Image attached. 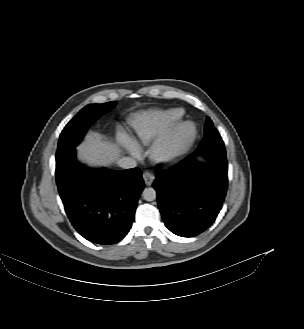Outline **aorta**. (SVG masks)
I'll use <instances>...</instances> for the list:
<instances>
[{"label":"aorta","mask_w":304,"mask_h":329,"mask_svg":"<svg viewBox=\"0 0 304 329\" xmlns=\"http://www.w3.org/2000/svg\"><path fill=\"white\" fill-rule=\"evenodd\" d=\"M143 199L146 201H153L156 199V191L154 188H145L142 192Z\"/></svg>","instance_id":"aorta-1"}]
</instances>
